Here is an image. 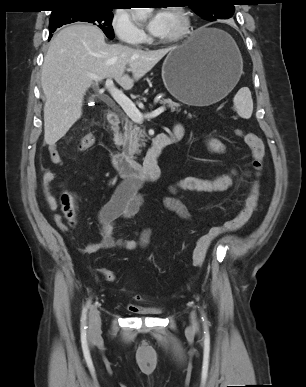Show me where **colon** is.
<instances>
[{
  "instance_id": "1",
  "label": "colon",
  "mask_w": 306,
  "mask_h": 387,
  "mask_svg": "<svg viewBox=\"0 0 306 387\" xmlns=\"http://www.w3.org/2000/svg\"><path fill=\"white\" fill-rule=\"evenodd\" d=\"M236 134L242 138L244 143L249 147L252 154L251 166L255 172L256 179L253 181L249 195L245 200L244 207L239 214L224 223L221 226L212 228L208 233L200 236L194 246L192 253V263L195 267H201L205 261L207 252L212 243L220 236L237 231L247 224L252 217L254 211L257 208L259 200L260 181L259 178L263 171L265 147L260 137L256 134L244 131L236 130ZM95 136L91 133L83 136L79 142V149L81 151L88 150L95 145ZM61 210L64 216L74 224L77 216V204L75 195L72 192L65 191L60 197ZM101 274L105 280L109 282H117V275L109 270H101Z\"/></svg>"
}]
</instances>
